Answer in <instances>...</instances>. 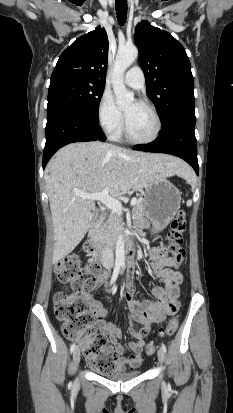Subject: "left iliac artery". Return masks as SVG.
<instances>
[{"label":"left iliac artery","instance_id":"44dca946","mask_svg":"<svg viewBox=\"0 0 233 413\" xmlns=\"http://www.w3.org/2000/svg\"><path fill=\"white\" fill-rule=\"evenodd\" d=\"M122 269H123V271H124V269H125V266L123 265L122 266ZM161 348H162V350L164 351V352H166V346L162 343L161 344Z\"/></svg>","mask_w":233,"mask_h":413}]
</instances>
